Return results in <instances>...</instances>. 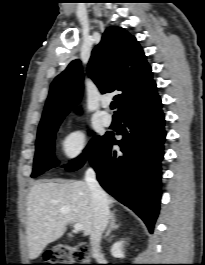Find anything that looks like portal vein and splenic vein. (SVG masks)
<instances>
[{
  "label": "portal vein and splenic vein",
  "mask_w": 205,
  "mask_h": 265,
  "mask_svg": "<svg viewBox=\"0 0 205 265\" xmlns=\"http://www.w3.org/2000/svg\"><path fill=\"white\" fill-rule=\"evenodd\" d=\"M82 229H83V226L81 224H74L75 231H81Z\"/></svg>",
  "instance_id": "portal-vein-and-splenic-vein-1"
}]
</instances>
